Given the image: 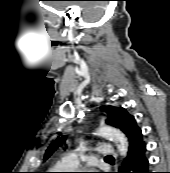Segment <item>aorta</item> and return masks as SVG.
<instances>
[{
    "label": "aorta",
    "instance_id": "762f6f07",
    "mask_svg": "<svg viewBox=\"0 0 170 173\" xmlns=\"http://www.w3.org/2000/svg\"><path fill=\"white\" fill-rule=\"evenodd\" d=\"M97 134L113 141L120 155L123 158L126 157L128 152V141L125 135L119 129L102 124L98 128Z\"/></svg>",
    "mask_w": 170,
    "mask_h": 173
}]
</instances>
